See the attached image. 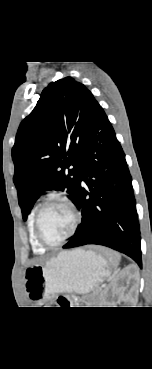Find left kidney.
Masks as SVG:
<instances>
[{"instance_id":"1","label":"left kidney","mask_w":152,"mask_h":369,"mask_svg":"<svg viewBox=\"0 0 152 369\" xmlns=\"http://www.w3.org/2000/svg\"><path fill=\"white\" fill-rule=\"evenodd\" d=\"M131 283V290H136L139 286V273L135 266L130 265L120 272V274L112 281L109 288L104 290L100 295V307H115L117 302L124 301L129 298L125 293L124 284Z\"/></svg>"}]
</instances>
